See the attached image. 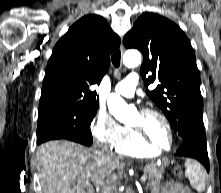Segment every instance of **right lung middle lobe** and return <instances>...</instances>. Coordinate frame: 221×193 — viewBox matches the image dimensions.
I'll return each instance as SVG.
<instances>
[{
  "label": "right lung middle lobe",
  "instance_id": "right-lung-middle-lobe-1",
  "mask_svg": "<svg viewBox=\"0 0 221 193\" xmlns=\"http://www.w3.org/2000/svg\"><path fill=\"white\" fill-rule=\"evenodd\" d=\"M98 106H50L39 109L37 144L53 139H68L89 145L92 140L90 123Z\"/></svg>",
  "mask_w": 221,
  "mask_h": 193
}]
</instances>
